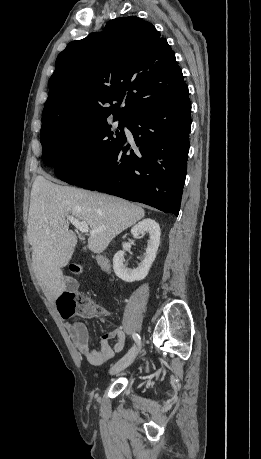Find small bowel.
<instances>
[{"label":"small bowel","instance_id":"c3829d8e","mask_svg":"<svg viewBox=\"0 0 261 459\" xmlns=\"http://www.w3.org/2000/svg\"><path fill=\"white\" fill-rule=\"evenodd\" d=\"M94 259L105 272L110 273V265L104 257L97 255L94 256ZM77 288L78 282L76 280L72 278L66 279V290L59 295L56 301L58 310L64 296L69 293H75ZM65 327L79 354L92 366L106 364L115 354L120 353L124 348L125 333L120 328L103 334L99 338L98 347L93 348L90 344L89 333L84 323L77 320H68L65 323ZM113 339H116V343L114 346H111L110 340Z\"/></svg>","mask_w":261,"mask_h":459}]
</instances>
